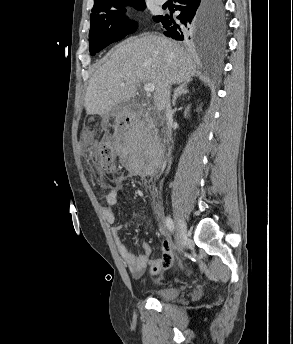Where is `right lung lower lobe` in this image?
Listing matches in <instances>:
<instances>
[{"label": "right lung lower lobe", "mask_w": 293, "mask_h": 344, "mask_svg": "<svg viewBox=\"0 0 293 344\" xmlns=\"http://www.w3.org/2000/svg\"><path fill=\"white\" fill-rule=\"evenodd\" d=\"M174 1L179 3L176 10H179L180 14L176 18L180 20V25L175 23L172 15L154 19L163 24L166 36L185 42L192 41L207 51L213 50L222 43L225 20L220 30L216 20V0Z\"/></svg>", "instance_id": "obj_1"}]
</instances>
